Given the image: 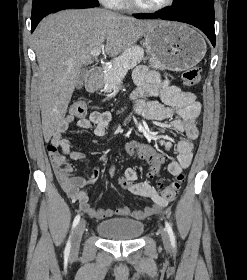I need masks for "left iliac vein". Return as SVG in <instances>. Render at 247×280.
Returning <instances> with one entry per match:
<instances>
[{"mask_svg": "<svg viewBox=\"0 0 247 280\" xmlns=\"http://www.w3.org/2000/svg\"><path fill=\"white\" fill-rule=\"evenodd\" d=\"M160 234H161V237H162L164 247L166 249H169V246H170L169 235L163 227H160Z\"/></svg>", "mask_w": 247, "mask_h": 280, "instance_id": "obj_1", "label": "left iliac vein"}]
</instances>
